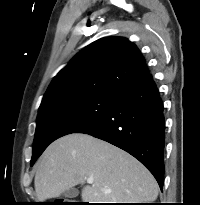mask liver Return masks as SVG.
I'll list each match as a JSON object with an SVG mask.
<instances>
[{"instance_id":"1","label":"liver","mask_w":200,"mask_h":205,"mask_svg":"<svg viewBox=\"0 0 200 205\" xmlns=\"http://www.w3.org/2000/svg\"><path fill=\"white\" fill-rule=\"evenodd\" d=\"M93 183L84 185L87 179ZM81 184L89 203L155 201L158 184L133 156L87 134L72 133L51 143L37 164L34 179L38 200L58 197Z\"/></svg>"}]
</instances>
